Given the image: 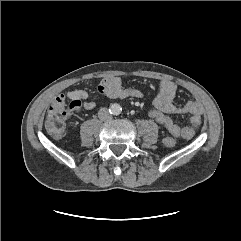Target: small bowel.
<instances>
[{"label": "small bowel", "mask_w": 241, "mask_h": 241, "mask_svg": "<svg viewBox=\"0 0 241 241\" xmlns=\"http://www.w3.org/2000/svg\"><path fill=\"white\" fill-rule=\"evenodd\" d=\"M99 91L109 98H141L143 92L132 87H126L121 83L118 77H106L99 86ZM176 95V86L172 82L162 81L157 87V92L153 98V105L155 108L169 115L176 114H191L200 117L202 114V106L196 100H188L183 106H178L174 103ZM67 97L71 100H83V108L85 110H92L96 104L89 100L88 93L85 90H73L67 93Z\"/></svg>", "instance_id": "obj_1"}]
</instances>
